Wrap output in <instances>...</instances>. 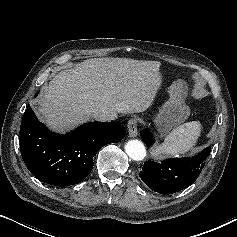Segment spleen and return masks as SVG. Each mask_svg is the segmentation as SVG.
Returning a JSON list of instances; mask_svg holds the SVG:
<instances>
[{
	"label": "spleen",
	"instance_id": "spleen-1",
	"mask_svg": "<svg viewBox=\"0 0 237 237\" xmlns=\"http://www.w3.org/2000/svg\"><path fill=\"white\" fill-rule=\"evenodd\" d=\"M201 127L197 121L178 126L165 137L162 144L152 150L153 157L176 156L190 151L200 137Z\"/></svg>",
	"mask_w": 237,
	"mask_h": 237
}]
</instances>
